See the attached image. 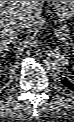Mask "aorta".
Masks as SVG:
<instances>
[{
  "instance_id": "1",
  "label": "aorta",
  "mask_w": 74,
  "mask_h": 122,
  "mask_svg": "<svg viewBox=\"0 0 74 122\" xmlns=\"http://www.w3.org/2000/svg\"><path fill=\"white\" fill-rule=\"evenodd\" d=\"M43 64L49 71L57 72L65 65V57L58 49L49 48L44 52Z\"/></svg>"
}]
</instances>
